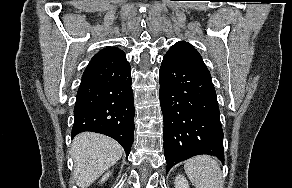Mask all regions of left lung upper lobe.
I'll return each mask as SVG.
<instances>
[{
	"instance_id": "obj_1",
	"label": "left lung upper lobe",
	"mask_w": 292,
	"mask_h": 188,
	"mask_svg": "<svg viewBox=\"0 0 292 188\" xmlns=\"http://www.w3.org/2000/svg\"><path fill=\"white\" fill-rule=\"evenodd\" d=\"M166 56L191 66L201 72L210 74L200 54L187 42H177L168 50Z\"/></svg>"
}]
</instances>
